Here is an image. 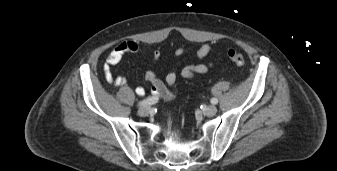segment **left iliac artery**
Returning <instances> with one entry per match:
<instances>
[{"instance_id": "obj_1", "label": "left iliac artery", "mask_w": 337, "mask_h": 171, "mask_svg": "<svg viewBox=\"0 0 337 171\" xmlns=\"http://www.w3.org/2000/svg\"><path fill=\"white\" fill-rule=\"evenodd\" d=\"M210 101L214 105H216L218 103V99L217 98H212Z\"/></svg>"}]
</instances>
